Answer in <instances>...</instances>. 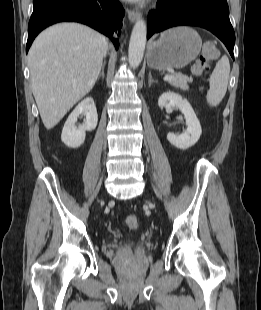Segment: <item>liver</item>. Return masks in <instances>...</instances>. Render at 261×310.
Masks as SVG:
<instances>
[{"label": "liver", "mask_w": 261, "mask_h": 310, "mask_svg": "<svg viewBox=\"0 0 261 310\" xmlns=\"http://www.w3.org/2000/svg\"><path fill=\"white\" fill-rule=\"evenodd\" d=\"M105 37L79 23H59L34 40L28 65L32 92L47 130L93 88L102 68Z\"/></svg>", "instance_id": "1"}]
</instances>
